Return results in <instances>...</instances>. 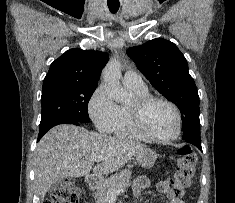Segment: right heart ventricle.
I'll return each mask as SVG.
<instances>
[{
  "label": "right heart ventricle",
  "mask_w": 235,
  "mask_h": 203,
  "mask_svg": "<svg viewBox=\"0 0 235 203\" xmlns=\"http://www.w3.org/2000/svg\"><path fill=\"white\" fill-rule=\"evenodd\" d=\"M132 91L135 92L137 97L149 95L148 90H138L135 88L129 87ZM111 133L119 138H128V139H143L133 128L129 113L128 106L120 105L118 106V117L111 130Z\"/></svg>",
  "instance_id": "right-heart-ventricle-1"
}]
</instances>
